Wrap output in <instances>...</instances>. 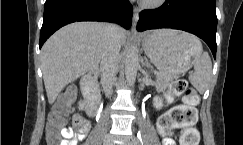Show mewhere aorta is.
<instances>
[{"instance_id": "aorta-1", "label": "aorta", "mask_w": 243, "mask_h": 145, "mask_svg": "<svg viewBox=\"0 0 243 145\" xmlns=\"http://www.w3.org/2000/svg\"><path fill=\"white\" fill-rule=\"evenodd\" d=\"M139 68L138 52L136 47L131 46L127 53L125 62V75L129 85H133L136 81L137 70Z\"/></svg>"}]
</instances>
